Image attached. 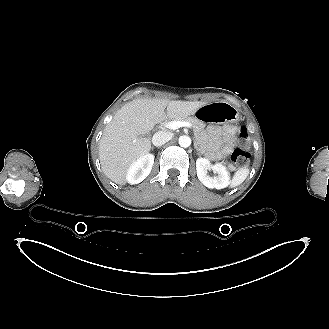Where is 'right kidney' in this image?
<instances>
[{"instance_id": "right-kidney-1", "label": "right kidney", "mask_w": 329, "mask_h": 329, "mask_svg": "<svg viewBox=\"0 0 329 329\" xmlns=\"http://www.w3.org/2000/svg\"><path fill=\"white\" fill-rule=\"evenodd\" d=\"M154 155L147 153L134 162L127 171L126 180L129 184L142 182L151 172Z\"/></svg>"}]
</instances>
